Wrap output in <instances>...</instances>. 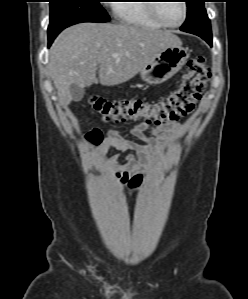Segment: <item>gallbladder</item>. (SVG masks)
<instances>
[{"mask_svg": "<svg viewBox=\"0 0 248 299\" xmlns=\"http://www.w3.org/2000/svg\"><path fill=\"white\" fill-rule=\"evenodd\" d=\"M70 93L72 95L73 101L79 102L82 100L85 90L83 88H79L77 85L72 84L70 86Z\"/></svg>", "mask_w": 248, "mask_h": 299, "instance_id": "bac80fb5", "label": "gallbladder"}]
</instances>
